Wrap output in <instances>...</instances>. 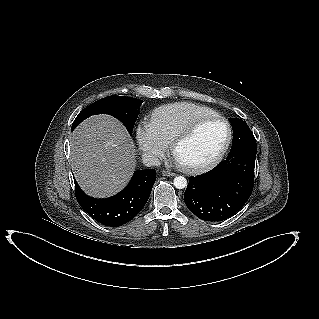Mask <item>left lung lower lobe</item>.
<instances>
[{"label":"left lung lower lobe","instance_id":"0a47b994","mask_svg":"<svg viewBox=\"0 0 319 319\" xmlns=\"http://www.w3.org/2000/svg\"><path fill=\"white\" fill-rule=\"evenodd\" d=\"M236 118H230L235 123ZM255 151L229 153L211 171L189 178L184 193L188 209L204 221H223L249 199L254 186Z\"/></svg>","mask_w":319,"mask_h":319}]
</instances>
